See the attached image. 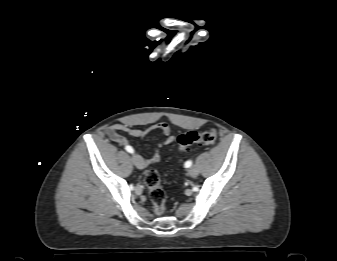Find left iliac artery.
Wrapping results in <instances>:
<instances>
[{
	"label": "left iliac artery",
	"instance_id": "obj_1",
	"mask_svg": "<svg viewBox=\"0 0 337 261\" xmlns=\"http://www.w3.org/2000/svg\"><path fill=\"white\" fill-rule=\"evenodd\" d=\"M191 165H192V161L191 160H188V161L185 162V167L186 168H189Z\"/></svg>",
	"mask_w": 337,
	"mask_h": 261
}]
</instances>
